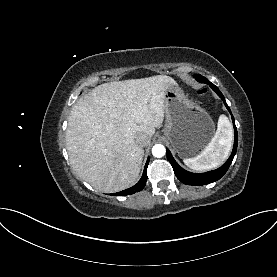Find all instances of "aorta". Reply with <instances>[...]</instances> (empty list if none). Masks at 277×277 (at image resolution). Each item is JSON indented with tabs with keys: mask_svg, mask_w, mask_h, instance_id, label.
<instances>
[{
	"mask_svg": "<svg viewBox=\"0 0 277 277\" xmlns=\"http://www.w3.org/2000/svg\"><path fill=\"white\" fill-rule=\"evenodd\" d=\"M166 153V149L162 144H156L152 148V154L154 157H163Z\"/></svg>",
	"mask_w": 277,
	"mask_h": 277,
	"instance_id": "1",
	"label": "aorta"
}]
</instances>
